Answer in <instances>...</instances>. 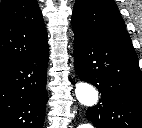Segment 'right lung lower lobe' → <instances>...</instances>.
<instances>
[{
    "instance_id": "98d812e1",
    "label": "right lung lower lobe",
    "mask_w": 142,
    "mask_h": 128,
    "mask_svg": "<svg viewBox=\"0 0 142 128\" xmlns=\"http://www.w3.org/2000/svg\"><path fill=\"white\" fill-rule=\"evenodd\" d=\"M48 43L0 71V128H43Z\"/></svg>"
}]
</instances>
